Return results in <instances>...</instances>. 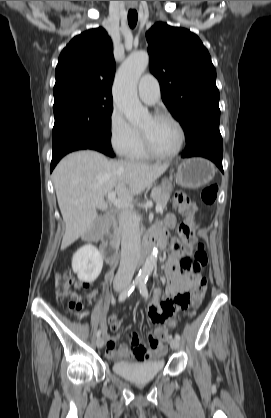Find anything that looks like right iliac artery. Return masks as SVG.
<instances>
[{
  "label": "right iliac artery",
  "instance_id": "1",
  "mask_svg": "<svg viewBox=\"0 0 271 418\" xmlns=\"http://www.w3.org/2000/svg\"><path fill=\"white\" fill-rule=\"evenodd\" d=\"M139 281L135 280L133 281L131 284H129L128 286H126L123 291L120 293L119 295V302L124 301L134 290V288L138 285ZM101 335V330L99 329L97 331V337H100Z\"/></svg>",
  "mask_w": 271,
  "mask_h": 418
}]
</instances>
